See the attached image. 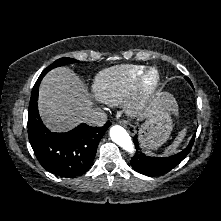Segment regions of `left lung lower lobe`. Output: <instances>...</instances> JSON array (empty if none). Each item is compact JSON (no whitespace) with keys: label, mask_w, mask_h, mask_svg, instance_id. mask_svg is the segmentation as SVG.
<instances>
[{"label":"left lung lower lobe","mask_w":221,"mask_h":221,"mask_svg":"<svg viewBox=\"0 0 221 221\" xmlns=\"http://www.w3.org/2000/svg\"><path fill=\"white\" fill-rule=\"evenodd\" d=\"M195 139L192 137L188 146L180 153L169 157H149L146 156L139 148L137 136L134 137V144L137 152L132 157L130 163L135 171L147 176H157L165 174L175 168L190 152Z\"/></svg>","instance_id":"obj_1"}]
</instances>
